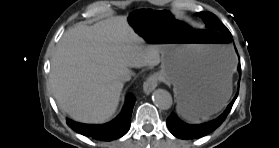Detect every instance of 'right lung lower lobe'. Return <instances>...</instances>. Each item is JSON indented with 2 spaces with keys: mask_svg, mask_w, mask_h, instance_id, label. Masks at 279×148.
I'll list each match as a JSON object with an SVG mask.
<instances>
[{
  "mask_svg": "<svg viewBox=\"0 0 279 148\" xmlns=\"http://www.w3.org/2000/svg\"><path fill=\"white\" fill-rule=\"evenodd\" d=\"M134 104L135 97L132 93H129L122 112L113 121L103 125H88L67 119V125L76 132L92 139L111 141L122 137L128 132Z\"/></svg>",
  "mask_w": 279,
  "mask_h": 148,
  "instance_id": "98d812e1",
  "label": "right lung lower lobe"
}]
</instances>
